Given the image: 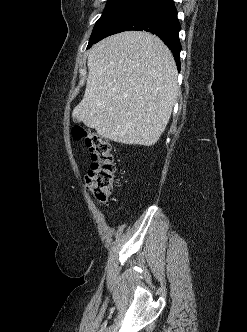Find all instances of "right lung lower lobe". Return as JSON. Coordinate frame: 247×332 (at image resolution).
Wrapping results in <instances>:
<instances>
[{
    "label": "right lung lower lobe",
    "instance_id": "obj_1",
    "mask_svg": "<svg viewBox=\"0 0 247 332\" xmlns=\"http://www.w3.org/2000/svg\"><path fill=\"white\" fill-rule=\"evenodd\" d=\"M180 29L173 0H150L108 26L99 37V41L123 31L145 30L157 35L171 49L180 71Z\"/></svg>",
    "mask_w": 247,
    "mask_h": 332
}]
</instances>
